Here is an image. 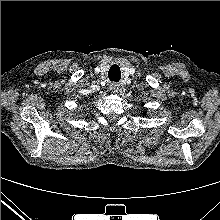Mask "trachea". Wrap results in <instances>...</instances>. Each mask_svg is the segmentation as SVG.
<instances>
[{
    "label": "trachea",
    "instance_id": "3493384b",
    "mask_svg": "<svg viewBox=\"0 0 220 220\" xmlns=\"http://www.w3.org/2000/svg\"><path fill=\"white\" fill-rule=\"evenodd\" d=\"M119 79H120V76H110V80H111V81L118 82Z\"/></svg>",
    "mask_w": 220,
    "mask_h": 220
}]
</instances>
